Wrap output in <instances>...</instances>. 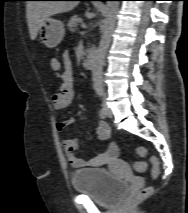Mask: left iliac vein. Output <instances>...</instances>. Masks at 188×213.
Masks as SVG:
<instances>
[{
  "mask_svg": "<svg viewBox=\"0 0 188 213\" xmlns=\"http://www.w3.org/2000/svg\"><path fill=\"white\" fill-rule=\"evenodd\" d=\"M106 108H107V116L109 118H111L112 117V112H111V110L108 107H106Z\"/></svg>",
  "mask_w": 188,
  "mask_h": 213,
  "instance_id": "4c4485c4",
  "label": "left iliac vein"
}]
</instances>
